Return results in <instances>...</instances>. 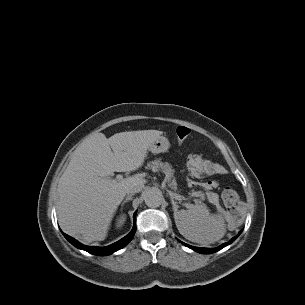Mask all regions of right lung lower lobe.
Returning a JSON list of instances; mask_svg holds the SVG:
<instances>
[{
	"instance_id": "right-lung-lower-lobe-1",
	"label": "right lung lower lobe",
	"mask_w": 305,
	"mask_h": 305,
	"mask_svg": "<svg viewBox=\"0 0 305 305\" xmlns=\"http://www.w3.org/2000/svg\"><path fill=\"white\" fill-rule=\"evenodd\" d=\"M135 232H136V217L134 214V226H133L132 231L127 236H125L124 238L119 240L118 242H116L112 245L106 246V247L85 246V245L79 243L74 238L70 237L69 235H67L63 232L62 233L65 236V238L75 247L85 250L94 255L106 256V255H110V254L118 251L119 249L123 248L124 246H126L132 240Z\"/></svg>"
}]
</instances>
